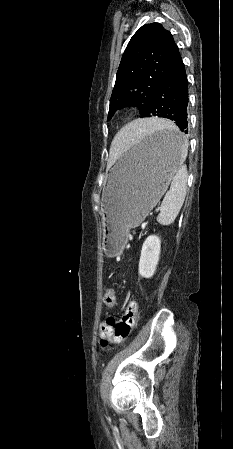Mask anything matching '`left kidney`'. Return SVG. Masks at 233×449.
<instances>
[{
  "instance_id": "left-kidney-1",
  "label": "left kidney",
  "mask_w": 233,
  "mask_h": 449,
  "mask_svg": "<svg viewBox=\"0 0 233 449\" xmlns=\"http://www.w3.org/2000/svg\"><path fill=\"white\" fill-rule=\"evenodd\" d=\"M161 240L156 235H150L143 243L139 260V274L144 278H151L159 261Z\"/></svg>"
}]
</instances>
